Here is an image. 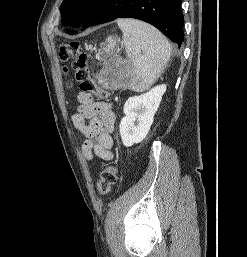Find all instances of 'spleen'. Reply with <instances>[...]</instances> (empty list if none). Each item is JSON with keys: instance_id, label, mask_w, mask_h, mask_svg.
Listing matches in <instances>:
<instances>
[{"instance_id": "obj_1", "label": "spleen", "mask_w": 247, "mask_h": 257, "mask_svg": "<svg viewBox=\"0 0 247 257\" xmlns=\"http://www.w3.org/2000/svg\"><path fill=\"white\" fill-rule=\"evenodd\" d=\"M126 55L132 65L131 87H150L166 68L170 56L169 41L153 26L135 19H118Z\"/></svg>"}]
</instances>
